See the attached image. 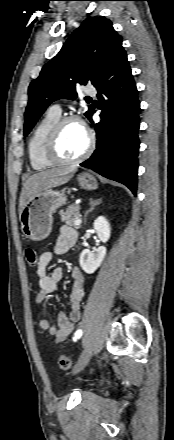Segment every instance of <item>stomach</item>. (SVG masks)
Returning a JSON list of instances; mask_svg holds the SVG:
<instances>
[{"label": "stomach", "instance_id": "obj_1", "mask_svg": "<svg viewBox=\"0 0 174 440\" xmlns=\"http://www.w3.org/2000/svg\"><path fill=\"white\" fill-rule=\"evenodd\" d=\"M83 189H97L95 177L89 173H81L77 177ZM67 197L65 190L51 188L41 191L29 199L20 214L21 229L24 235L33 240L41 241L47 238L52 230L53 214L65 204Z\"/></svg>", "mask_w": 174, "mask_h": 440}]
</instances>
